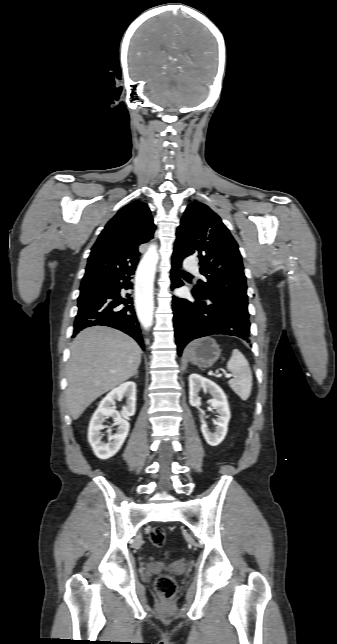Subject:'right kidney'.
Listing matches in <instances>:
<instances>
[{
    "label": "right kidney",
    "mask_w": 337,
    "mask_h": 644,
    "mask_svg": "<svg viewBox=\"0 0 337 644\" xmlns=\"http://www.w3.org/2000/svg\"><path fill=\"white\" fill-rule=\"evenodd\" d=\"M123 397H126L127 401L121 413H119L115 407V400H121ZM135 411L136 384L134 382L129 381L121 384L102 399L91 418L88 428V441L98 458L108 459L120 450L130 429V424L124 418L133 416ZM108 417L114 419L115 425H118V428L114 435H111L110 430H108L109 442L105 444L101 441L100 431L106 428L103 422Z\"/></svg>",
    "instance_id": "right-kidney-1"
}]
</instances>
